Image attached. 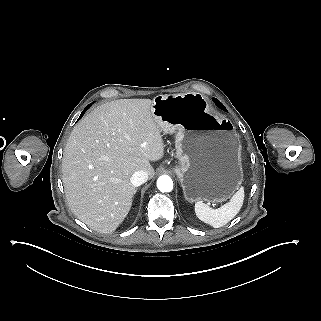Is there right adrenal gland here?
<instances>
[{
    "mask_svg": "<svg viewBox=\"0 0 321 321\" xmlns=\"http://www.w3.org/2000/svg\"><path fill=\"white\" fill-rule=\"evenodd\" d=\"M137 191H138V189L136 188V189L134 190L133 194H136Z\"/></svg>",
    "mask_w": 321,
    "mask_h": 321,
    "instance_id": "right-adrenal-gland-1",
    "label": "right adrenal gland"
}]
</instances>
